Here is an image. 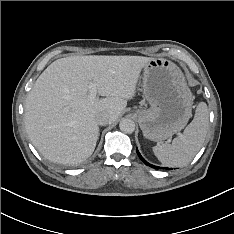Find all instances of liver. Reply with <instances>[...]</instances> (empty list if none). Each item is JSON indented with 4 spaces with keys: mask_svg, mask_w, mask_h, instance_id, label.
I'll return each instance as SVG.
<instances>
[{
    "mask_svg": "<svg viewBox=\"0 0 234 234\" xmlns=\"http://www.w3.org/2000/svg\"><path fill=\"white\" fill-rule=\"evenodd\" d=\"M143 56H70L51 63L38 77L25 101L29 139L46 159L77 164L96 147V116L106 112L114 122L136 93ZM106 98L90 100L89 84Z\"/></svg>",
    "mask_w": 234,
    "mask_h": 234,
    "instance_id": "1",
    "label": "liver"
}]
</instances>
